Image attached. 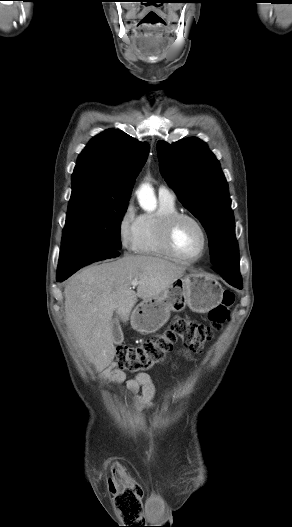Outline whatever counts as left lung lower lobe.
Returning a JSON list of instances; mask_svg holds the SVG:
<instances>
[{
	"instance_id": "0a47b994",
	"label": "left lung lower lobe",
	"mask_w": 292,
	"mask_h": 527,
	"mask_svg": "<svg viewBox=\"0 0 292 527\" xmlns=\"http://www.w3.org/2000/svg\"><path fill=\"white\" fill-rule=\"evenodd\" d=\"M217 273H219L226 282L230 285L242 289L241 275L239 272V267L235 266H218L213 268Z\"/></svg>"
}]
</instances>
